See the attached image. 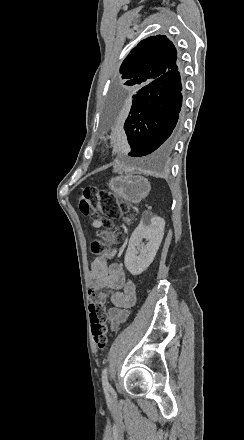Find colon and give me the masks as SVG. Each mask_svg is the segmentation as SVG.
Here are the masks:
<instances>
[{
  "instance_id": "obj_1",
  "label": "colon",
  "mask_w": 244,
  "mask_h": 440,
  "mask_svg": "<svg viewBox=\"0 0 244 440\" xmlns=\"http://www.w3.org/2000/svg\"><path fill=\"white\" fill-rule=\"evenodd\" d=\"M79 210L82 215L91 217L101 224V234L90 246L93 255L99 256L106 247L111 249L115 237L113 230L121 218L122 211L118 208L110 193L102 189L86 187L79 197ZM108 291L104 286L95 287L91 292V302L88 305L90 329L93 341L98 350L107 347L108 326L106 315V301Z\"/></svg>"
}]
</instances>
